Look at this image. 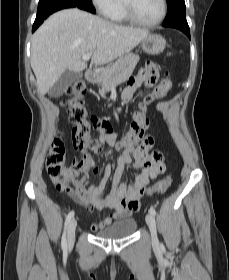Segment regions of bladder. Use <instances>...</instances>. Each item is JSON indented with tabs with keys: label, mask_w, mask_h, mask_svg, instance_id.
<instances>
[{
	"label": "bladder",
	"mask_w": 229,
	"mask_h": 280,
	"mask_svg": "<svg viewBox=\"0 0 229 280\" xmlns=\"http://www.w3.org/2000/svg\"><path fill=\"white\" fill-rule=\"evenodd\" d=\"M137 227V222L133 218L122 219L110 227L96 231L95 234L105 239H116L132 235Z\"/></svg>",
	"instance_id": "obj_1"
}]
</instances>
